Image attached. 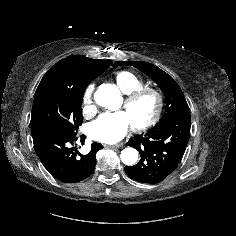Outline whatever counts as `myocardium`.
Here are the masks:
<instances>
[{
    "label": "myocardium",
    "mask_w": 236,
    "mask_h": 236,
    "mask_svg": "<svg viewBox=\"0 0 236 236\" xmlns=\"http://www.w3.org/2000/svg\"><path fill=\"white\" fill-rule=\"evenodd\" d=\"M146 95H151L155 99V110L152 116L147 121L140 124L131 125L135 131H145L153 127L160 120L163 112L164 96L158 89L153 87H143L127 94L124 99L123 105L124 107H128Z\"/></svg>",
    "instance_id": "1"
}]
</instances>
